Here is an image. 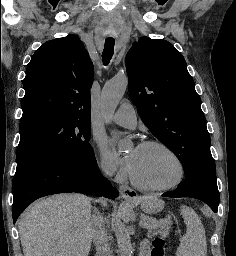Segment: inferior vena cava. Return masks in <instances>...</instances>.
I'll list each match as a JSON object with an SVG mask.
<instances>
[{
  "mask_svg": "<svg viewBox=\"0 0 236 256\" xmlns=\"http://www.w3.org/2000/svg\"><path fill=\"white\" fill-rule=\"evenodd\" d=\"M90 234H92V238H94L96 256H111L109 244L111 236H108L107 230H105V226H103V218L96 220Z\"/></svg>",
  "mask_w": 236,
  "mask_h": 256,
  "instance_id": "1",
  "label": "inferior vena cava"
}]
</instances>
